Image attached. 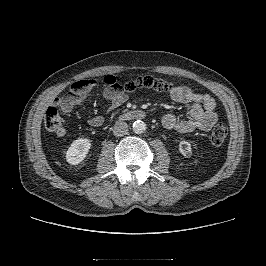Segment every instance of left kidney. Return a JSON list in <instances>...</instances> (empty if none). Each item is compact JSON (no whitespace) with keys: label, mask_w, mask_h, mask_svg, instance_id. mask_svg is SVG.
I'll return each instance as SVG.
<instances>
[{"label":"left kidney","mask_w":266,"mask_h":266,"mask_svg":"<svg viewBox=\"0 0 266 266\" xmlns=\"http://www.w3.org/2000/svg\"><path fill=\"white\" fill-rule=\"evenodd\" d=\"M179 151L183 156H189L191 153V144L185 140L180 141Z\"/></svg>","instance_id":"obj_1"}]
</instances>
